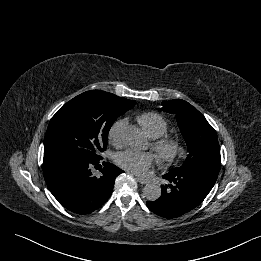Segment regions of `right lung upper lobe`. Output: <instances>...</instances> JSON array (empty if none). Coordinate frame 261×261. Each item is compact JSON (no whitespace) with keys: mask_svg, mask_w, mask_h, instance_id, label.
<instances>
[{"mask_svg":"<svg viewBox=\"0 0 261 261\" xmlns=\"http://www.w3.org/2000/svg\"><path fill=\"white\" fill-rule=\"evenodd\" d=\"M89 93H92V94H97V95H100V96H104V97H117V98H122V97H118L112 93H108V92H105V91H100V90H91V91H87Z\"/></svg>","mask_w":261,"mask_h":261,"instance_id":"1","label":"right lung upper lobe"}]
</instances>
